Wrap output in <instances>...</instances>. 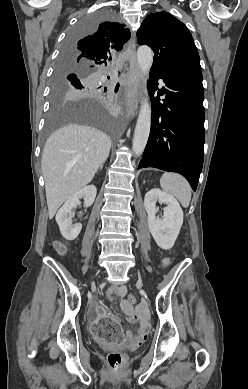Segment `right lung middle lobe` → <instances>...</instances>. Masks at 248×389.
I'll list each match as a JSON object with an SVG mask.
<instances>
[{"mask_svg":"<svg viewBox=\"0 0 248 389\" xmlns=\"http://www.w3.org/2000/svg\"><path fill=\"white\" fill-rule=\"evenodd\" d=\"M110 18V13L106 10L97 11L93 14L84 16L76 28L70 32L64 44L63 53L70 48L72 43L84 35L94 32L100 23H103ZM71 72L77 73L80 78L79 80L78 77H72V74L68 75L67 79L71 81V84L75 88L82 89L85 85L87 90H91L89 83L92 79L91 74L93 71L78 66L64 65L63 57L61 55L57 66V76L54 83V92L45 136L47 137L57 127L69 123L93 124L104 129L113 136L112 120L98 106L88 101L66 100V93L69 89V85L64 84L65 76Z\"/></svg>","mask_w":248,"mask_h":389,"instance_id":"obj_1","label":"right lung middle lobe"}]
</instances>
